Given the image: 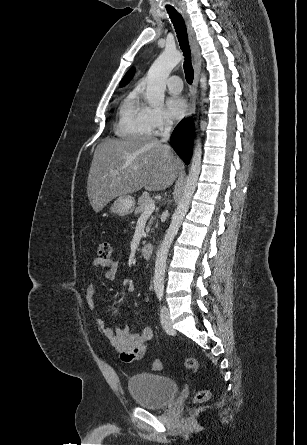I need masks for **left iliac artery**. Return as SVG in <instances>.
I'll list each match as a JSON object with an SVG mask.
<instances>
[{
  "label": "left iliac artery",
  "mask_w": 307,
  "mask_h": 445,
  "mask_svg": "<svg viewBox=\"0 0 307 445\" xmlns=\"http://www.w3.org/2000/svg\"><path fill=\"white\" fill-rule=\"evenodd\" d=\"M158 299L161 301L163 298V290L159 289L156 291Z\"/></svg>",
  "instance_id": "left-iliac-artery-1"
}]
</instances>
